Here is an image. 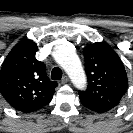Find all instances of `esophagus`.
<instances>
[{
  "label": "esophagus",
  "mask_w": 133,
  "mask_h": 133,
  "mask_svg": "<svg viewBox=\"0 0 133 133\" xmlns=\"http://www.w3.org/2000/svg\"><path fill=\"white\" fill-rule=\"evenodd\" d=\"M69 81V78L65 75V76H63V78L61 79V83L62 84H65V83H67Z\"/></svg>",
  "instance_id": "esophagus-1"
}]
</instances>
